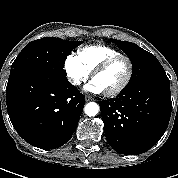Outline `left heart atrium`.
<instances>
[{"mask_svg":"<svg viewBox=\"0 0 178 178\" xmlns=\"http://www.w3.org/2000/svg\"><path fill=\"white\" fill-rule=\"evenodd\" d=\"M85 90L90 93H94V94L103 92V89L100 87V85L95 80L87 84L85 86Z\"/></svg>","mask_w":178,"mask_h":178,"instance_id":"left-heart-atrium-1","label":"left heart atrium"}]
</instances>
